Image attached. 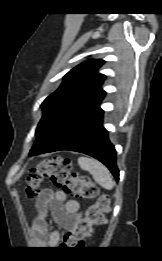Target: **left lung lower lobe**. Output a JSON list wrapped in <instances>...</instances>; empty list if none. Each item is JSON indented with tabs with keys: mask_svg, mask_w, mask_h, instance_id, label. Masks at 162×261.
<instances>
[{
	"mask_svg": "<svg viewBox=\"0 0 162 261\" xmlns=\"http://www.w3.org/2000/svg\"><path fill=\"white\" fill-rule=\"evenodd\" d=\"M103 113V110H101L96 116L77 127L45 152L70 150L90 155L106 165L118 181L119 170L116 165V150L109 141L108 132L102 124Z\"/></svg>",
	"mask_w": 162,
	"mask_h": 261,
	"instance_id": "1",
	"label": "left lung lower lobe"
}]
</instances>
